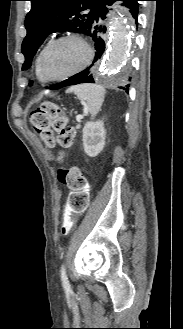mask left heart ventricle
Instances as JSON below:
<instances>
[{"label":"left heart ventricle","mask_w":183,"mask_h":329,"mask_svg":"<svg viewBox=\"0 0 183 329\" xmlns=\"http://www.w3.org/2000/svg\"><path fill=\"white\" fill-rule=\"evenodd\" d=\"M87 57L85 46L78 40H64L48 52L45 59V73L58 77L79 68Z\"/></svg>","instance_id":"left-heart-ventricle-1"}]
</instances>
